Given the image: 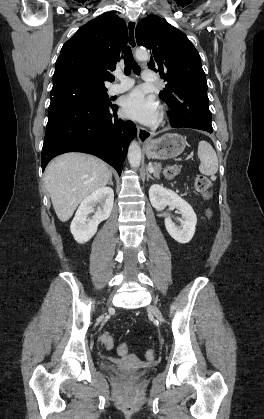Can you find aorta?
I'll return each mask as SVG.
<instances>
[{"mask_svg":"<svg viewBox=\"0 0 264 419\" xmlns=\"http://www.w3.org/2000/svg\"><path fill=\"white\" fill-rule=\"evenodd\" d=\"M136 58L140 61H146L149 58L147 50L138 49ZM128 160L132 168H138L141 162V148L136 141H132L128 149Z\"/></svg>","mask_w":264,"mask_h":419,"instance_id":"aorta-1","label":"aorta"}]
</instances>
